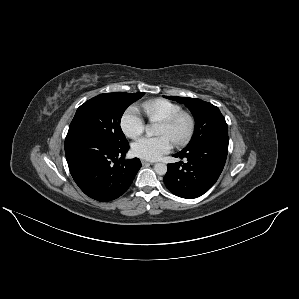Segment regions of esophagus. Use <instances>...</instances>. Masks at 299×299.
Wrapping results in <instances>:
<instances>
[{"mask_svg":"<svg viewBox=\"0 0 299 299\" xmlns=\"http://www.w3.org/2000/svg\"><path fill=\"white\" fill-rule=\"evenodd\" d=\"M141 163H142V165H152V164H154L153 162H149V161H146V160H142L141 161Z\"/></svg>","mask_w":299,"mask_h":299,"instance_id":"obj_1","label":"esophagus"}]
</instances>
